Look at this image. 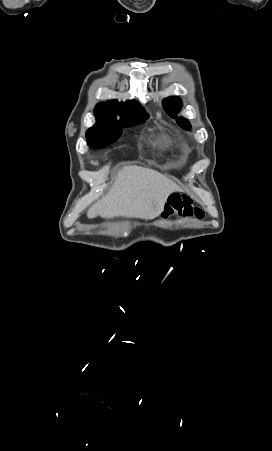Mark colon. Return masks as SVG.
<instances>
[{
	"label": "colon",
	"mask_w": 272,
	"mask_h": 451,
	"mask_svg": "<svg viewBox=\"0 0 272 451\" xmlns=\"http://www.w3.org/2000/svg\"><path fill=\"white\" fill-rule=\"evenodd\" d=\"M163 214L165 216L177 214L181 218L195 217L197 219H202L206 216L205 211L191 197L180 194H173L169 197Z\"/></svg>",
	"instance_id": "5ec220e1"
}]
</instances>
